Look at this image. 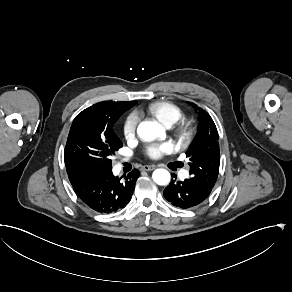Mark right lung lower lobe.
Listing matches in <instances>:
<instances>
[{
	"mask_svg": "<svg viewBox=\"0 0 292 292\" xmlns=\"http://www.w3.org/2000/svg\"><path fill=\"white\" fill-rule=\"evenodd\" d=\"M67 174L76 194L86 205L96 212L109 214L124 208L131 200L140 172L134 169L119 178L113 175L112 169L77 167L67 169Z\"/></svg>",
	"mask_w": 292,
	"mask_h": 292,
	"instance_id": "1",
	"label": "right lung lower lobe"
}]
</instances>
